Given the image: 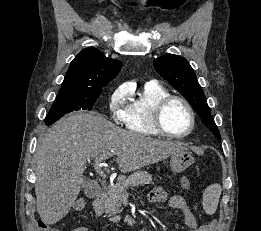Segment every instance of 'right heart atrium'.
<instances>
[{"mask_svg":"<svg viewBox=\"0 0 261 231\" xmlns=\"http://www.w3.org/2000/svg\"><path fill=\"white\" fill-rule=\"evenodd\" d=\"M126 87L116 88L108 99V109L112 119L117 123H123L126 109Z\"/></svg>","mask_w":261,"mask_h":231,"instance_id":"obj_1","label":"right heart atrium"}]
</instances>
